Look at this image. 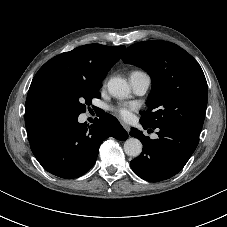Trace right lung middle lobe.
<instances>
[{"instance_id": "dd1d6c3e", "label": "right lung middle lobe", "mask_w": 227, "mask_h": 227, "mask_svg": "<svg viewBox=\"0 0 227 227\" xmlns=\"http://www.w3.org/2000/svg\"><path fill=\"white\" fill-rule=\"evenodd\" d=\"M100 87L101 82H76L65 87L60 93L63 119L78 117L79 114L85 112L86 105H90L94 97H100L98 92Z\"/></svg>"}]
</instances>
